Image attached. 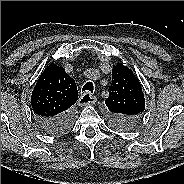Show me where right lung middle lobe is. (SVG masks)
Here are the masks:
<instances>
[{"label": "right lung middle lobe", "mask_w": 184, "mask_h": 184, "mask_svg": "<svg viewBox=\"0 0 184 184\" xmlns=\"http://www.w3.org/2000/svg\"><path fill=\"white\" fill-rule=\"evenodd\" d=\"M70 127H71V122L68 123L66 126H64V127L62 128V130H60L59 132H57V133L54 134V135L63 134V133H65V132H67V131L70 129Z\"/></svg>", "instance_id": "right-lung-middle-lobe-1"}]
</instances>
